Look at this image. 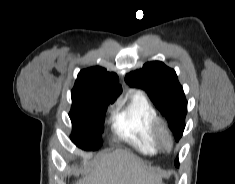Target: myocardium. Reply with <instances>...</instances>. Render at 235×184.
Instances as JSON below:
<instances>
[{
	"instance_id": "1",
	"label": "myocardium",
	"mask_w": 235,
	"mask_h": 184,
	"mask_svg": "<svg viewBox=\"0 0 235 184\" xmlns=\"http://www.w3.org/2000/svg\"><path fill=\"white\" fill-rule=\"evenodd\" d=\"M164 134L168 135V137L170 138L171 147L169 149L166 148L161 142L162 135ZM153 139L156 147L162 152L169 153L175 148L176 142L174 135L172 131L169 129V127L161 120H157L154 124Z\"/></svg>"
}]
</instances>
